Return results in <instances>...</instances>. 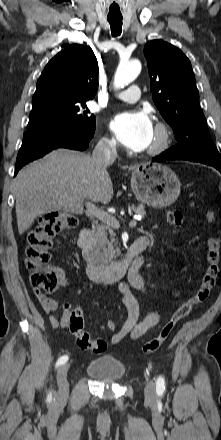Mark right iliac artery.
I'll use <instances>...</instances> for the list:
<instances>
[{
    "instance_id": "right-iliac-artery-1",
    "label": "right iliac artery",
    "mask_w": 221,
    "mask_h": 440,
    "mask_svg": "<svg viewBox=\"0 0 221 440\" xmlns=\"http://www.w3.org/2000/svg\"><path fill=\"white\" fill-rule=\"evenodd\" d=\"M67 360H68V356H66V355L61 356V357L58 359V361L56 362V367H58V366H60V365H62V364H65V363L67 362Z\"/></svg>"
}]
</instances>
